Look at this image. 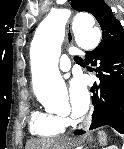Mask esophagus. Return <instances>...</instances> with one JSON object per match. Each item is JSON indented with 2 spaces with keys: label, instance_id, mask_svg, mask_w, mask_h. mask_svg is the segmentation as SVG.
Returning a JSON list of instances; mask_svg holds the SVG:
<instances>
[{
  "label": "esophagus",
  "instance_id": "34e87169",
  "mask_svg": "<svg viewBox=\"0 0 124 149\" xmlns=\"http://www.w3.org/2000/svg\"><path fill=\"white\" fill-rule=\"evenodd\" d=\"M66 39L69 44H72L73 35H72V30H71V21L68 22V31H67ZM92 114H93V108H91V110L89 112V118H88L87 122L85 123V126L87 129L91 125Z\"/></svg>",
  "mask_w": 124,
  "mask_h": 149
}]
</instances>
